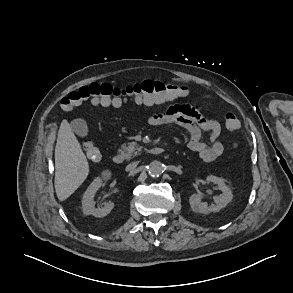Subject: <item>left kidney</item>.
<instances>
[{
  "mask_svg": "<svg viewBox=\"0 0 293 293\" xmlns=\"http://www.w3.org/2000/svg\"><path fill=\"white\" fill-rule=\"evenodd\" d=\"M207 183H214L218 185L219 189L222 191V195L215 196L214 201L215 204H211L210 206L206 202H202L201 194H193L189 198L190 207L194 212L208 214L210 212H218L224 207L228 205V203L232 200L233 194L231 189L225 184V180L223 178L209 175L207 178Z\"/></svg>",
  "mask_w": 293,
  "mask_h": 293,
  "instance_id": "left-kidney-1",
  "label": "left kidney"
}]
</instances>
